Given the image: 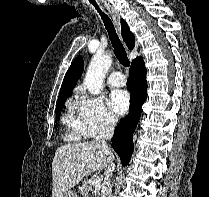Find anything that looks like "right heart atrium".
I'll return each mask as SVG.
<instances>
[{
  "mask_svg": "<svg viewBox=\"0 0 209 197\" xmlns=\"http://www.w3.org/2000/svg\"><path fill=\"white\" fill-rule=\"evenodd\" d=\"M75 109L86 137H93L113 128L117 121L115 115L99 97L81 93L76 98Z\"/></svg>",
  "mask_w": 209,
  "mask_h": 197,
  "instance_id": "right-heart-atrium-1",
  "label": "right heart atrium"
}]
</instances>
